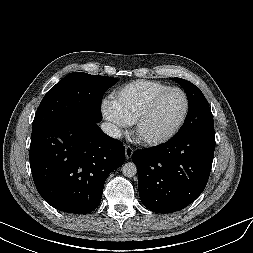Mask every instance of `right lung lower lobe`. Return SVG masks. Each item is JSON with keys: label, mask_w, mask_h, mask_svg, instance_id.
Here are the masks:
<instances>
[{"label": "right lung lower lobe", "mask_w": 253, "mask_h": 253, "mask_svg": "<svg viewBox=\"0 0 253 253\" xmlns=\"http://www.w3.org/2000/svg\"><path fill=\"white\" fill-rule=\"evenodd\" d=\"M125 161V148L97 123L76 120L31 134L35 186L52 207L75 214L96 209L105 180Z\"/></svg>", "instance_id": "1"}]
</instances>
